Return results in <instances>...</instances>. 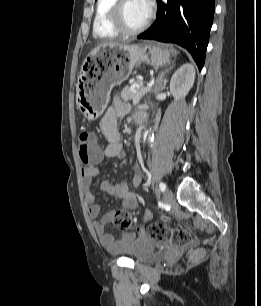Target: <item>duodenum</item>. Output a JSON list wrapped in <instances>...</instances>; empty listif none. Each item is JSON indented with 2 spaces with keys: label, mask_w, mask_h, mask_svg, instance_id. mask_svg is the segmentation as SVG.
I'll return each instance as SVG.
<instances>
[{
  "label": "duodenum",
  "mask_w": 261,
  "mask_h": 306,
  "mask_svg": "<svg viewBox=\"0 0 261 306\" xmlns=\"http://www.w3.org/2000/svg\"><path fill=\"white\" fill-rule=\"evenodd\" d=\"M146 120H147V115L145 113H139L135 117V122L138 125L144 124L146 122Z\"/></svg>",
  "instance_id": "1"
}]
</instances>
